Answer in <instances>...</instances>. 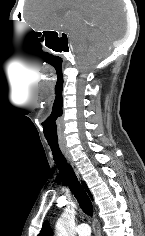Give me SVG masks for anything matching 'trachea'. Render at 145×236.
Listing matches in <instances>:
<instances>
[{
  "label": "trachea",
  "instance_id": "3493384b",
  "mask_svg": "<svg viewBox=\"0 0 145 236\" xmlns=\"http://www.w3.org/2000/svg\"><path fill=\"white\" fill-rule=\"evenodd\" d=\"M48 144L51 148L55 164L57 165L64 181L69 186L75 198L77 199L80 208L86 215L92 216L93 215L92 203L87 193L79 183L71 165L68 163L67 159L60 150L58 142L48 141Z\"/></svg>",
  "mask_w": 145,
  "mask_h": 236
}]
</instances>
